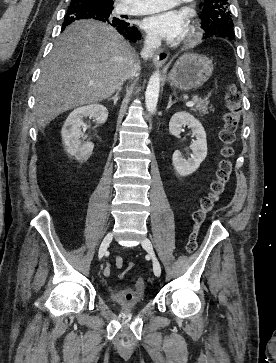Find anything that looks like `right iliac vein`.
<instances>
[{"label": "right iliac vein", "mask_w": 276, "mask_h": 363, "mask_svg": "<svg viewBox=\"0 0 276 363\" xmlns=\"http://www.w3.org/2000/svg\"><path fill=\"white\" fill-rule=\"evenodd\" d=\"M113 238V234L111 232L107 233L106 236L104 237L100 247H99V251H98V258L101 259L104 254L107 251V248L109 247L111 241Z\"/></svg>", "instance_id": "63e3f726"}]
</instances>
